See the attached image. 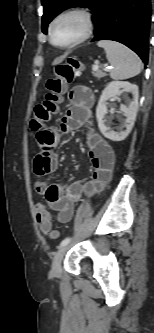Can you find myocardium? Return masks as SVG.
<instances>
[{"instance_id": "f54148a6", "label": "myocardium", "mask_w": 154, "mask_h": 333, "mask_svg": "<svg viewBox=\"0 0 154 333\" xmlns=\"http://www.w3.org/2000/svg\"><path fill=\"white\" fill-rule=\"evenodd\" d=\"M67 16L79 17L83 23L82 31L77 38H75L74 40H72L67 44L56 43L54 40V26L60 19ZM93 31H94V18L91 11H89L87 8L84 7H72L61 11L52 19V21L49 24V39L54 46L62 49H69L85 42L87 39L90 38Z\"/></svg>"}]
</instances>
